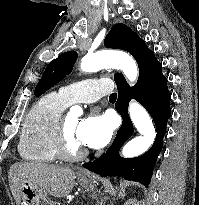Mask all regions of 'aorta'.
Segmentation results:
<instances>
[{"instance_id": "obj_1", "label": "aorta", "mask_w": 199, "mask_h": 205, "mask_svg": "<svg viewBox=\"0 0 199 205\" xmlns=\"http://www.w3.org/2000/svg\"><path fill=\"white\" fill-rule=\"evenodd\" d=\"M81 70L86 73L96 72L103 68H116L123 71L130 83L138 78L136 61L123 51L103 50L94 54H87L81 60ZM73 114H80L81 108H71ZM130 118L140 133V136L130 140L122 149V156L136 157L146 152L153 144L156 136L155 127L147 111L137 102L132 101L129 106Z\"/></svg>"}]
</instances>
